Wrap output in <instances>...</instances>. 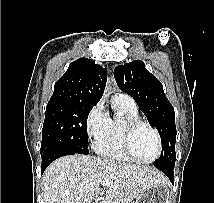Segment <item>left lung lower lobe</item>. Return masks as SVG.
Masks as SVG:
<instances>
[{
    "instance_id": "obj_1",
    "label": "left lung lower lobe",
    "mask_w": 214,
    "mask_h": 203,
    "mask_svg": "<svg viewBox=\"0 0 214 203\" xmlns=\"http://www.w3.org/2000/svg\"><path fill=\"white\" fill-rule=\"evenodd\" d=\"M157 169L161 170L163 173H165L170 181L172 183H174V172H173V169H174V165H167V166H158V165H154Z\"/></svg>"
}]
</instances>
